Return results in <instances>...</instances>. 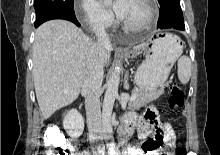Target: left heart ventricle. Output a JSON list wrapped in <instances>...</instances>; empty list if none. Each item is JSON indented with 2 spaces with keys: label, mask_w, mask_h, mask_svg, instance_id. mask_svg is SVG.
<instances>
[{
  "label": "left heart ventricle",
  "mask_w": 220,
  "mask_h": 155,
  "mask_svg": "<svg viewBox=\"0 0 220 155\" xmlns=\"http://www.w3.org/2000/svg\"><path fill=\"white\" fill-rule=\"evenodd\" d=\"M148 12L140 0H130L128 9L122 20L131 25H140L147 18Z\"/></svg>",
  "instance_id": "obj_1"
}]
</instances>
